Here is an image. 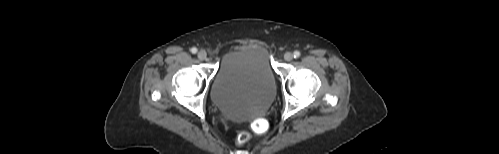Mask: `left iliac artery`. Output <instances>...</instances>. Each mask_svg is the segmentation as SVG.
Wrapping results in <instances>:
<instances>
[{"label": "left iliac artery", "mask_w": 499, "mask_h": 154, "mask_svg": "<svg viewBox=\"0 0 499 154\" xmlns=\"http://www.w3.org/2000/svg\"><path fill=\"white\" fill-rule=\"evenodd\" d=\"M300 57V52L299 51H295L294 52V58H299Z\"/></svg>", "instance_id": "44dca946"}]
</instances>
